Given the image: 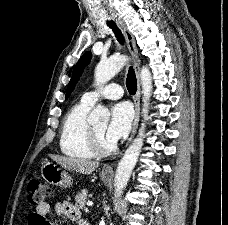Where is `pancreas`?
Instances as JSON below:
<instances>
[{"label": "pancreas", "instance_id": "1", "mask_svg": "<svg viewBox=\"0 0 228 225\" xmlns=\"http://www.w3.org/2000/svg\"><path fill=\"white\" fill-rule=\"evenodd\" d=\"M87 197H88V191H86V189H83L81 193H77L75 197V201H76L75 205H77L79 209H83V207H85Z\"/></svg>", "mask_w": 228, "mask_h": 225}]
</instances>
